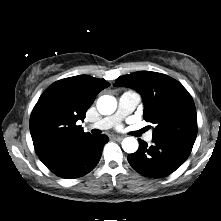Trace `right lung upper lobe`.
<instances>
[{"label": "right lung upper lobe", "instance_id": "right-lung-upper-lobe-1", "mask_svg": "<svg viewBox=\"0 0 221 221\" xmlns=\"http://www.w3.org/2000/svg\"><path fill=\"white\" fill-rule=\"evenodd\" d=\"M110 86L88 75L73 76L54 82L40 96L30 117V133L35 151L46 167L60 162L75 146L91 136L78 120L96 95Z\"/></svg>", "mask_w": 221, "mask_h": 221}]
</instances>
